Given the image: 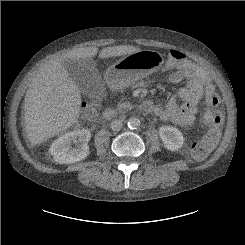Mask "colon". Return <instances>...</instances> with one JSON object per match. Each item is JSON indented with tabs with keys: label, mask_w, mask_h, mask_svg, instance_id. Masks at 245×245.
Returning a JSON list of instances; mask_svg holds the SVG:
<instances>
[{
	"label": "colon",
	"mask_w": 245,
	"mask_h": 245,
	"mask_svg": "<svg viewBox=\"0 0 245 245\" xmlns=\"http://www.w3.org/2000/svg\"><path fill=\"white\" fill-rule=\"evenodd\" d=\"M168 58L173 64L183 63L186 59V55L179 50H170L168 52ZM203 86L206 93V103L210 107L218 106L220 99L218 93L215 91L211 83L205 79L203 81ZM99 102L97 98L89 99L84 107L81 114L80 124H87L92 121L96 115L95 106ZM211 126L207 134L196 141L193 142L191 148L188 152L189 156L195 160L204 159L216 146L220 135L221 127L223 123V116L220 111H214L211 114Z\"/></svg>",
	"instance_id": "colon-1"
}]
</instances>
